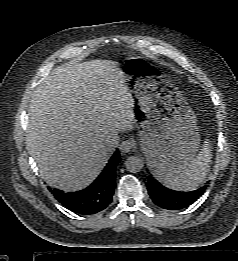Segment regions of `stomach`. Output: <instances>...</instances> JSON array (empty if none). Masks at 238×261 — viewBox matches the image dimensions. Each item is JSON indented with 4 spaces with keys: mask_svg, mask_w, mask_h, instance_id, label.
Returning a JSON list of instances; mask_svg holds the SVG:
<instances>
[{
    "mask_svg": "<svg viewBox=\"0 0 238 261\" xmlns=\"http://www.w3.org/2000/svg\"><path fill=\"white\" fill-rule=\"evenodd\" d=\"M123 86L140 117L139 143L153 175L166 181L194 159L200 143L196 116L179 89L143 59L121 66Z\"/></svg>",
    "mask_w": 238,
    "mask_h": 261,
    "instance_id": "1",
    "label": "stomach"
}]
</instances>
